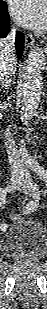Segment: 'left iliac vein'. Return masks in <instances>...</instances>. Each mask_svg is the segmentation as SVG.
I'll return each instance as SVG.
<instances>
[{
    "mask_svg": "<svg viewBox=\"0 0 47 309\" xmlns=\"http://www.w3.org/2000/svg\"><path fill=\"white\" fill-rule=\"evenodd\" d=\"M20 190L29 196H33L35 198L38 197L39 193L37 191V185L34 184L31 180V178H26L23 180L22 185L20 186Z\"/></svg>",
    "mask_w": 47,
    "mask_h": 309,
    "instance_id": "1",
    "label": "left iliac vein"
}]
</instances>
